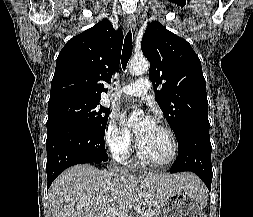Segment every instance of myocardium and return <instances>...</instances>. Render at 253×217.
I'll use <instances>...</instances> for the list:
<instances>
[{"instance_id":"myocardium-1","label":"myocardium","mask_w":253,"mask_h":217,"mask_svg":"<svg viewBox=\"0 0 253 217\" xmlns=\"http://www.w3.org/2000/svg\"><path fill=\"white\" fill-rule=\"evenodd\" d=\"M156 126L161 128L162 130H164L170 139L171 153H170L169 157L163 162H156V161H152V160L148 159L143 154V152L140 148L139 140L136 141L137 157L141 163H143L147 166L154 167V168H165V167L171 165L177 157L178 141H177V137L175 135V132L173 131V129L169 125L160 122V123H157Z\"/></svg>"}]
</instances>
